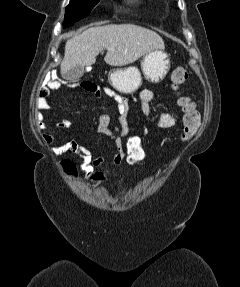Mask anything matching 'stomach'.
<instances>
[{
	"instance_id": "obj_1",
	"label": "stomach",
	"mask_w": 240,
	"mask_h": 287,
	"mask_svg": "<svg viewBox=\"0 0 240 287\" xmlns=\"http://www.w3.org/2000/svg\"><path fill=\"white\" fill-rule=\"evenodd\" d=\"M170 69V59L163 49H153L145 54L141 70L146 80L152 83L163 81ZM110 84L119 92L130 94L142 83L141 72L137 67L112 69L109 72Z\"/></svg>"
}]
</instances>
